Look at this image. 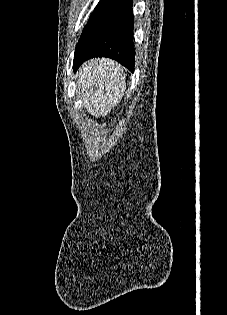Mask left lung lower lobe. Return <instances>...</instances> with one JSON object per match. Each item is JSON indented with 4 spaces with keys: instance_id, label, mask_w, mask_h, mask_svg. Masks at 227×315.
I'll use <instances>...</instances> for the list:
<instances>
[{
    "instance_id": "obj_1",
    "label": "left lung lower lobe",
    "mask_w": 227,
    "mask_h": 315,
    "mask_svg": "<svg viewBox=\"0 0 227 315\" xmlns=\"http://www.w3.org/2000/svg\"><path fill=\"white\" fill-rule=\"evenodd\" d=\"M94 57H108L134 72L132 0H100L77 43L73 68Z\"/></svg>"
}]
</instances>
